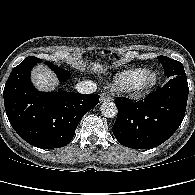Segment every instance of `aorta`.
Instances as JSON below:
<instances>
[{"mask_svg": "<svg viewBox=\"0 0 195 195\" xmlns=\"http://www.w3.org/2000/svg\"><path fill=\"white\" fill-rule=\"evenodd\" d=\"M100 110L102 115L106 118H114L118 113L117 106L113 102H104L101 105Z\"/></svg>", "mask_w": 195, "mask_h": 195, "instance_id": "762f6f07", "label": "aorta"}]
</instances>
